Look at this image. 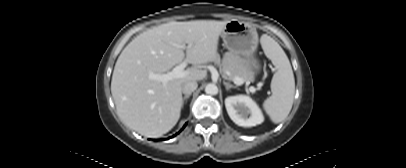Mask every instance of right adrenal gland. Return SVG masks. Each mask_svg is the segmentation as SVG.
I'll return each instance as SVG.
<instances>
[{
  "label": "right adrenal gland",
  "mask_w": 406,
  "mask_h": 168,
  "mask_svg": "<svg viewBox=\"0 0 406 168\" xmlns=\"http://www.w3.org/2000/svg\"><path fill=\"white\" fill-rule=\"evenodd\" d=\"M191 96V94L189 95H185L182 99V105L184 104L185 101H187V99Z\"/></svg>",
  "instance_id": "right-adrenal-gland-1"
}]
</instances>
